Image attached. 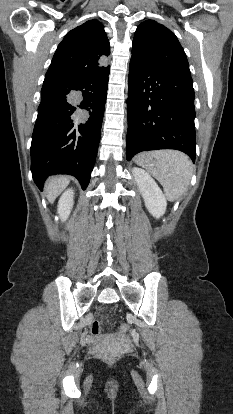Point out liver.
<instances>
[{"label":"liver","mask_w":233,"mask_h":414,"mask_svg":"<svg viewBox=\"0 0 233 414\" xmlns=\"http://www.w3.org/2000/svg\"><path fill=\"white\" fill-rule=\"evenodd\" d=\"M69 177L68 176H58V177H52L50 178L45 186L46 190V197L47 200L52 203L57 196L62 192V190L66 187V185L69 183Z\"/></svg>","instance_id":"1"}]
</instances>
